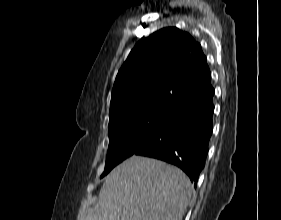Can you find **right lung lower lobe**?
<instances>
[{
    "label": "right lung lower lobe",
    "mask_w": 281,
    "mask_h": 220,
    "mask_svg": "<svg viewBox=\"0 0 281 220\" xmlns=\"http://www.w3.org/2000/svg\"><path fill=\"white\" fill-rule=\"evenodd\" d=\"M213 95L214 89L211 87L180 102L164 124L133 155L176 165L196 187L205 166L213 129Z\"/></svg>",
    "instance_id": "1"
}]
</instances>
